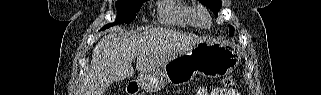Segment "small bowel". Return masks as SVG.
<instances>
[{"label":"small bowel","instance_id":"1","mask_svg":"<svg viewBox=\"0 0 321 95\" xmlns=\"http://www.w3.org/2000/svg\"><path fill=\"white\" fill-rule=\"evenodd\" d=\"M201 95H238V93H235L233 90H226V89H216L210 93L203 91L200 93Z\"/></svg>","mask_w":321,"mask_h":95}]
</instances>
